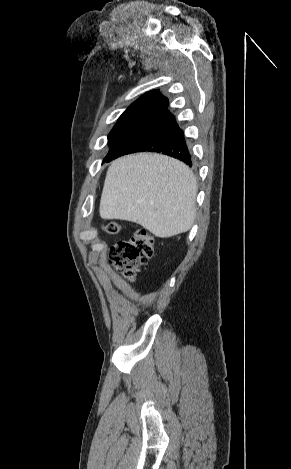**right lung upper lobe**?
Listing matches in <instances>:
<instances>
[{"label": "right lung upper lobe", "instance_id": "obj_1", "mask_svg": "<svg viewBox=\"0 0 291 469\" xmlns=\"http://www.w3.org/2000/svg\"><path fill=\"white\" fill-rule=\"evenodd\" d=\"M167 107L168 99L162 96L159 90H153L142 95L124 113H141L154 117Z\"/></svg>", "mask_w": 291, "mask_h": 469}]
</instances>
